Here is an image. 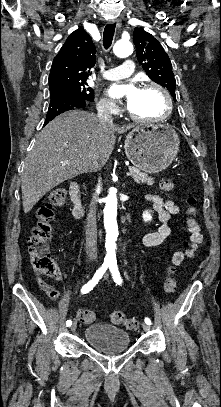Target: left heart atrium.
<instances>
[{
	"instance_id": "39dd6f15",
	"label": "left heart atrium",
	"mask_w": 221,
	"mask_h": 407,
	"mask_svg": "<svg viewBox=\"0 0 221 407\" xmlns=\"http://www.w3.org/2000/svg\"><path fill=\"white\" fill-rule=\"evenodd\" d=\"M140 89L133 81L114 84L109 89V95L113 98H124L129 106L139 94Z\"/></svg>"
}]
</instances>
